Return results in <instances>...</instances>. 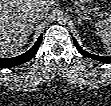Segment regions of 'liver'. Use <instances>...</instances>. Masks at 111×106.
Wrapping results in <instances>:
<instances>
[{
  "label": "liver",
  "instance_id": "1",
  "mask_svg": "<svg viewBox=\"0 0 111 106\" xmlns=\"http://www.w3.org/2000/svg\"><path fill=\"white\" fill-rule=\"evenodd\" d=\"M50 0L0 1V54L7 57L25 45L34 29L33 12L38 7L49 9Z\"/></svg>",
  "mask_w": 111,
  "mask_h": 106
}]
</instances>
